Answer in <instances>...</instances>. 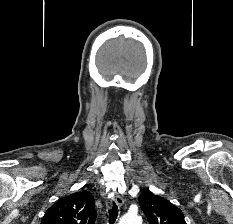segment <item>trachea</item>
<instances>
[{"mask_svg":"<svg viewBox=\"0 0 233 224\" xmlns=\"http://www.w3.org/2000/svg\"><path fill=\"white\" fill-rule=\"evenodd\" d=\"M118 217V207L115 202H113L111 209L109 210V222L114 224Z\"/></svg>","mask_w":233,"mask_h":224,"instance_id":"trachea-1","label":"trachea"}]
</instances>
